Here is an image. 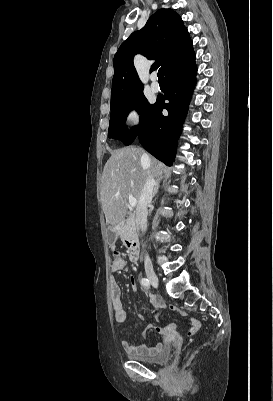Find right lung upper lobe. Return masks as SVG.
I'll return each mask as SVG.
<instances>
[{"mask_svg":"<svg viewBox=\"0 0 273 401\" xmlns=\"http://www.w3.org/2000/svg\"><path fill=\"white\" fill-rule=\"evenodd\" d=\"M157 59L152 65H162L165 76L179 64L195 58L187 28L172 9L162 8L150 17L146 25L133 32L119 47L114 57L111 107L143 93L133 64L135 54Z\"/></svg>","mask_w":273,"mask_h":401,"instance_id":"obj_1","label":"right lung upper lobe"}]
</instances>
